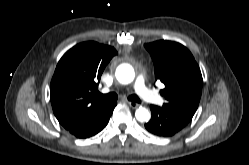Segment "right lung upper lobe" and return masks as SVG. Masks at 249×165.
<instances>
[{"label": "right lung upper lobe", "mask_w": 249, "mask_h": 165, "mask_svg": "<svg viewBox=\"0 0 249 165\" xmlns=\"http://www.w3.org/2000/svg\"><path fill=\"white\" fill-rule=\"evenodd\" d=\"M117 51L89 41L68 50L51 80L50 99L59 123L70 129L94 117L111 102L99 99L98 82Z\"/></svg>", "instance_id": "right-lung-upper-lobe-1"}]
</instances>
